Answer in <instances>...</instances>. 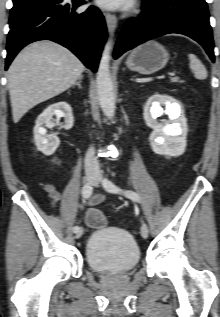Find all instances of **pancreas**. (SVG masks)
Segmentation results:
<instances>
[{
    "mask_svg": "<svg viewBox=\"0 0 220 317\" xmlns=\"http://www.w3.org/2000/svg\"><path fill=\"white\" fill-rule=\"evenodd\" d=\"M172 82H180L179 78L172 79Z\"/></svg>",
    "mask_w": 220,
    "mask_h": 317,
    "instance_id": "pancreas-1",
    "label": "pancreas"
}]
</instances>
